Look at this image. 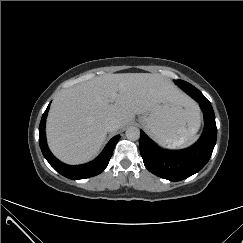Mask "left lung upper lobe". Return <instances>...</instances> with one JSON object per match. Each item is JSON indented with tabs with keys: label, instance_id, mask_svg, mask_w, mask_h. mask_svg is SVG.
<instances>
[{
	"label": "left lung upper lobe",
	"instance_id": "5c2ea615",
	"mask_svg": "<svg viewBox=\"0 0 243 243\" xmlns=\"http://www.w3.org/2000/svg\"><path fill=\"white\" fill-rule=\"evenodd\" d=\"M174 82L176 85L186 83V81H183V80H174Z\"/></svg>",
	"mask_w": 243,
	"mask_h": 243
}]
</instances>
